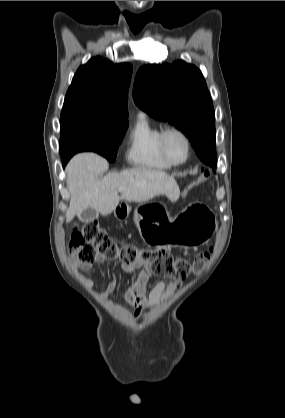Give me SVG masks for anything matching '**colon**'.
<instances>
[{
  "instance_id": "obj_1",
  "label": "colon",
  "mask_w": 285,
  "mask_h": 418,
  "mask_svg": "<svg viewBox=\"0 0 285 418\" xmlns=\"http://www.w3.org/2000/svg\"><path fill=\"white\" fill-rule=\"evenodd\" d=\"M201 178L210 180L212 172L203 170ZM69 252L84 265H92L97 255L117 256L124 263L148 262L154 274L167 278H184L190 272H200L211 255L210 251L199 253L190 264L185 260L175 259L164 250L139 248L132 244L119 245L100 224L93 222L74 228L69 238Z\"/></svg>"
}]
</instances>
